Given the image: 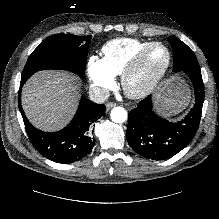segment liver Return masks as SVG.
<instances>
[{
	"label": "liver",
	"instance_id": "6515ba94",
	"mask_svg": "<svg viewBox=\"0 0 219 219\" xmlns=\"http://www.w3.org/2000/svg\"><path fill=\"white\" fill-rule=\"evenodd\" d=\"M76 82L65 72L48 70L34 74L22 90V106L29 121L44 131L63 128L76 111Z\"/></svg>",
	"mask_w": 219,
	"mask_h": 219
}]
</instances>
